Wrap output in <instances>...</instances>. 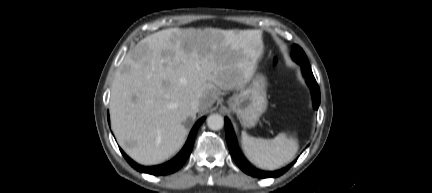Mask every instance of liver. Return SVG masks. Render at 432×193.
<instances>
[{
  "label": "liver",
  "mask_w": 432,
  "mask_h": 193,
  "mask_svg": "<svg viewBox=\"0 0 432 193\" xmlns=\"http://www.w3.org/2000/svg\"><path fill=\"white\" fill-rule=\"evenodd\" d=\"M259 30L169 28L130 49L117 70L109 103L114 135L134 161L160 164L185 142L184 123L205 113L221 90L243 89L263 53Z\"/></svg>",
  "instance_id": "1"
}]
</instances>
